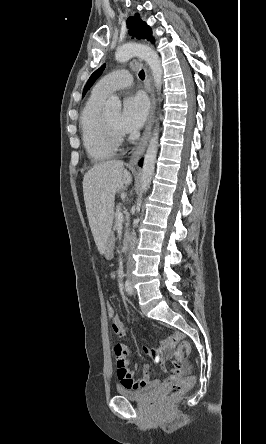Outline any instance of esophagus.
Here are the masks:
<instances>
[{
    "label": "esophagus",
    "mask_w": 266,
    "mask_h": 444,
    "mask_svg": "<svg viewBox=\"0 0 266 444\" xmlns=\"http://www.w3.org/2000/svg\"><path fill=\"white\" fill-rule=\"evenodd\" d=\"M147 82H148V92H149L150 100H151L150 114H149L147 124L145 126L144 132H143L140 140L137 142V144L132 149V154H131L130 160L128 162L129 166H135L138 163L139 159L141 158L142 154L145 151V148H146V145H147L148 140L150 138L151 130L153 127L154 114H155V95H154V88H153L152 79H151L150 75L148 76Z\"/></svg>",
    "instance_id": "esophagus-1"
}]
</instances>
